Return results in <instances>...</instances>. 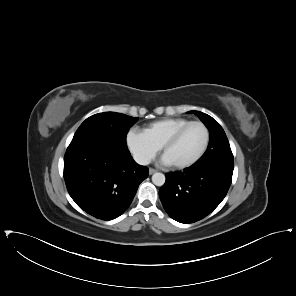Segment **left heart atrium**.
I'll return each instance as SVG.
<instances>
[{"instance_id":"left-heart-atrium-1","label":"left heart atrium","mask_w":296,"mask_h":296,"mask_svg":"<svg viewBox=\"0 0 296 296\" xmlns=\"http://www.w3.org/2000/svg\"><path fill=\"white\" fill-rule=\"evenodd\" d=\"M161 162L163 164H165V165H170L171 164L170 161L165 156L162 157Z\"/></svg>"}]
</instances>
